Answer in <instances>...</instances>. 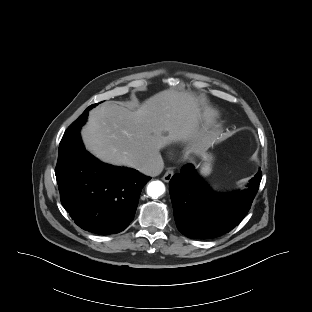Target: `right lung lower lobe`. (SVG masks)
Instances as JSON below:
<instances>
[{"mask_svg":"<svg viewBox=\"0 0 312 312\" xmlns=\"http://www.w3.org/2000/svg\"><path fill=\"white\" fill-rule=\"evenodd\" d=\"M55 174L71 218L100 235L121 232L130 224L141 190L151 179L135 169L100 162L86 151L80 135L59 154Z\"/></svg>","mask_w":312,"mask_h":312,"instance_id":"obj_1","label":"right lung lower lobe"}]
</instances>
